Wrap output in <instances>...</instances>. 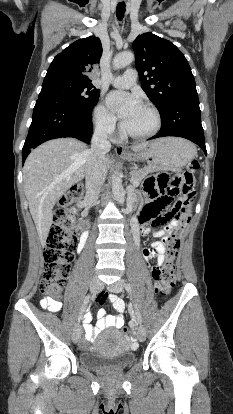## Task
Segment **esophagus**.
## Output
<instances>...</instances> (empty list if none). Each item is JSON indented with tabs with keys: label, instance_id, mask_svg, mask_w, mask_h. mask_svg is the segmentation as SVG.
Returning <instances> with one entry per match:
<instances>
[{
	"label": "esophagus",
	"instance_id": "1",
	"mask_svg": "<svg viewBox=\"0 0 233 414\" xmlns=\"http://www.w3.org/2000/svg\"><path fill=\"white\" fill-rule=\"evenodd\" d=\"M115 153H116L117 155H124V154H126V153H127V150H126V148H125L123 145H118V146L115 148Z\"/></svg>",
	"mask_w": 233,
	"mask_h": 414
}]
</instances>
